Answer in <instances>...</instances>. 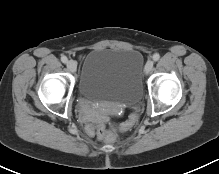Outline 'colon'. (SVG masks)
Segmentation results:
<instances>
[{
	"instance_id": "colon-1",
	"label": "colon",
	"mask_w": 219,
	"mask_h": 174,
	"mask_svg": "<svg viewBox=\"0 0 219 174\" xmlns=\"http://www.w3.org/2000/svg\"><path fill=\"white\" fill-rule=\"evenodd\" d=\"M135 120L136 115H132L128 121L121 125L120 129L122 131H127L133 126ZM86 132L91 136L96 135L99 139L105 140L109 143L114 142L117 136L115 128H106L104 125L88 124L86 126Z\"/></svg>"
}]
</instances>
